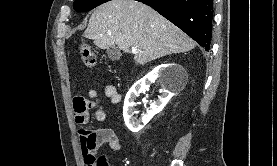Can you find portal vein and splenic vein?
I'll list each match as a JSON object with an SVG mask.
<instances>
[{"mask_svg":"<svg viewBox=\"0 0 277 166\" xmlns=\"http://www.w3.org/2000/svg\"><path fill=\"white\" fill-rule=\"evenodd\" d=\"M132 53H133V54H137V53H138L137 48L133 47V48H132Z\"/></svg>","mask_w":277,"mask_h":166,"instance_id":"obj_1","label":"portal vein and splenic vein"}]
</instances>
